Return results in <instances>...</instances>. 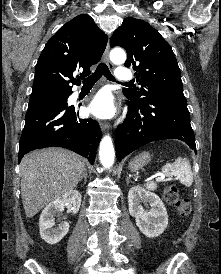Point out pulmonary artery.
Here are the masks:
<instances>
[{
  "label": "pulmonary artery",
  "mask_w": 221,
  "mask_h": 274,
  "mask_svg": "<svg viewBox=\"0 0 221 274\" xmlns=\"http://www.w3.org/2000/svg\"><path fill=\"white\" fill-rule=\"evenodd\" d=\"M115 76L119 81H129L133 78L131 70L126 67H119L115 72Z\"/></svg>",
  "instance_id": "obj_1"
}]
</instances>
